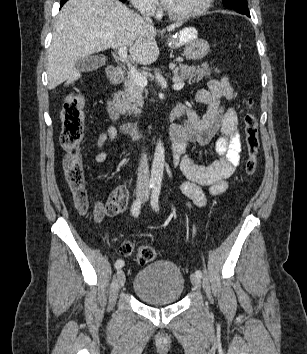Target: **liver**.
I'll use <instances>...</instances> for the list:
<instances>
[{
	"label": "liver",
	"mask_w": 307,
	"mask_h": 354,
	"mask_svg": "<svg viewBox=\"0 0 307 354\" xmlns=\"http://www.w3.org/2000/svg\"><path fill=\"white\" fill-rule=\"evenodd\" d=\"M180 24L167 27L173 31ZM156 29L119 0H69L57 16L48 50V89L81 77L77 60L108 48L129 47L141 65L155 62Z\"/></svg>",
	"instance_id": "6515ba94"
}]
</instances>
